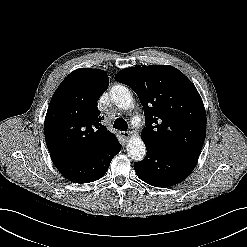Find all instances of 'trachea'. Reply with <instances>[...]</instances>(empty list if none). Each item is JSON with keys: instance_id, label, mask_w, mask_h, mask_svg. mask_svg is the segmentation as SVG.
<instances>
[{"instance_id": "trachea-1", "label": "trachea", "mask_w": 247, "mask_h": 247, "mask_svg": "<svg viewBox=\"0 0 247 247\" xmlns=\"http://www.w3.org/2000/svg\"><path fill=\"white\" fill-rule=\"evenodd\" d=\"M113 126H114L115 129H118V130H121V131H126L127 128H128L127 122L122 118H117L114 121V125Z\"/></svg>"}]
</instances>
